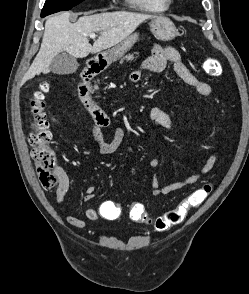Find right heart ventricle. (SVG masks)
Instances as JSON below:
<instances>
[{
    "label": "right heart ventricle",
    "mask_w": 249,
    "mask_h": 294,
    "mask_svg": "<svg viewBox=\"0 0 249 294\" xmlns=\"http://www.w3.org/2000/svg\"><path fill=\"white\" fill-rule=\"evenodd\" d=\"M129 5L144 12H162L169 8L171 0H126Z\"/></svg>",
    "instance_id": "right-heart-ventricle-1"
}]
</instances>
